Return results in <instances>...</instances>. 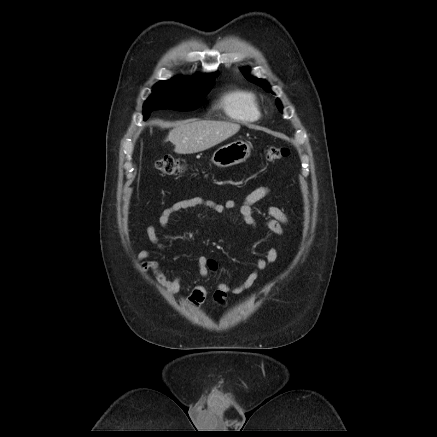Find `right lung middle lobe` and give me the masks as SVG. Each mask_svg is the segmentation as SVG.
<instances>
[{
	"label": "right lung middle lobe",
	"mask_w": 437,
	"mask_h": 437,
	"mask_svg": "<svg viewBox=\"0 0 437 437\" xmlns=\"http://www.w3.org/2000/svg\"><path fill=\"white\" fill-rule=\"evenodd\" d=\"M213 80L202 85L185 84L176 80L158 82L153 86L151 96L144 103V120L148 119L151 111L157 109H195L213 87Z\"/></svg>",
	"instance_id": "dd1d6c3e"
}]
</instances>
